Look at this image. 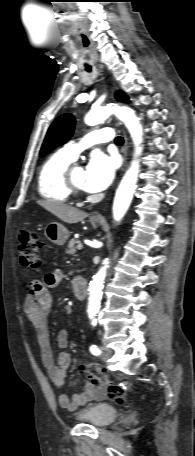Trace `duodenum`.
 I'll list each match as a JSON object with an SVG mask.
<instances>
[{
	"mask_svg": "<svg viewBox=\"0 0 195 456\" xmlns=\"http://www.w3.org/2000/svg\"><path fill=\"white\" fill-rule=\"evenodd\" d=\"M87 281L83 277H77L72 283V289L79 300H84L87 295Z\"/></svg>",
	"mask_w": 195,
	"mask_h": 456,
	"instance_id": "1",
	"label": "duodenum"
}]
</instances>
